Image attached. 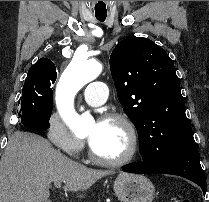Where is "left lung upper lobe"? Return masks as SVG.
<instances>
[{
    "label": "left lung upper lobe",
    "instance_id": "5c2ea615",
    "mask_svg": "<svg viewBox=\"0 0 209 202\" xmlns=\"http://www.w3.org/2000/svg\"><path fill=\"white\" fill-rule=\"evenodd\" d=\"M110 69L124 111L134 123L142 157L163 161L193 142L175 67L164 49L130 37L112 51Z\"/></svg>",
    "mask_w": 209,
    "mask_h": 202
}]
</instances>
